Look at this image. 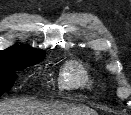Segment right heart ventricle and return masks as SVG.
Returning <instances> with one entry per match:
<instances>
[{
  "instance_id": "right-heart-ventricle-1",
  "label": "right heart ventricle",
  "mask_w": 131,
  "mask_h": 115,
  "mask_svg": "<svg viewBox=\"0 0 131 115\" xmlns=\"http://www.w3.org/2000/svg\"><path fill=\"white\" fill-rule=\"evenodd\" d=\"M95 86L90 70L82 63L70 60L65 63L60 73V87L64 90L85 89Z\"/></svg>"
}]
</instances>
